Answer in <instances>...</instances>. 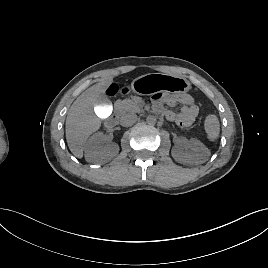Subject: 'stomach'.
Listing matches in <instances>:
<instances>
[{
    "label": "stomach",
    "instance_id": "stomach-1",
    "mask_svg": "<svg viewBox=\"0 0 268 268\" xmlns=\"http://www.w3.org/2000/svg\"><path fill=\"white\" fill-rule=\"evenodd\" d=\"M132 91L138 95H151L157 92L183 94L191 89L189 81L181 76L165 73H148L132 81Z\"/></svg>",
    "mask_w": 268,
    "mask_h": 268
}]
</instances>
